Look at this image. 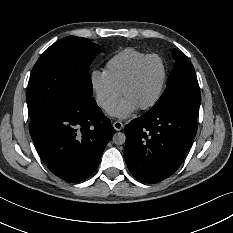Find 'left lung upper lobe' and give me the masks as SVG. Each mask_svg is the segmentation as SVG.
I'll list each match as a JSON object with an SVG mask.
<instances>
[{
    "label": "left lung upper lobe",
    "instance_id": "1",
    "mask_svg": "<svg viewBox=\"0 0 233 233\" xmlns=\"http://www.w3.org/2000/svg\"><path fill=\"white\" fill-rule=\"evenodd\" d=\"M176 60L167 87L155 105L147 111L149 114H161L169 111L187 110L198 113L201 93L193 65L180 51L174 49Z\"/></svg>",
    "mask_w": 233,
    "mask_h": 233
}]
</instances>
